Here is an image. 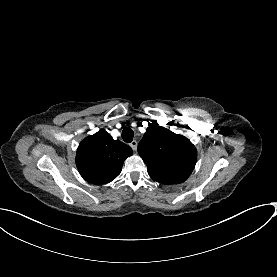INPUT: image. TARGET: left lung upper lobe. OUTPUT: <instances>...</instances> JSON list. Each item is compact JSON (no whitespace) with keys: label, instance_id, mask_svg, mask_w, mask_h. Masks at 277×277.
<instances>
[{"label":"left lung upper lobe","instance_id":"obj_1","mask_svg":"<svg viewBox=\"0 0 277 277\" xmlns=\"http://www.w3.org/2000/svg\"><path fill=\"white\" fill-rule=\"evenodd\" d=\"M138 153L148 174L162 184H179L192 173L197 158L195 146L184 136L157 124H148L138 144Z\"/></svg>","mask_w":277,"mask_h":277}]
</instances>
